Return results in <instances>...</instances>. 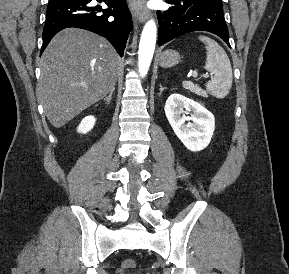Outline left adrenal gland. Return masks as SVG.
Returning <instances> with one entry per match:
<instances>
[{"instance_id":"left-adrenal-gland-1","label":"left adrenal gland","mask_w":289,"mask_h":274,"mask_svg":"<svg viewBox=\"0 0 289 274\" xmlns=\"http://www.w3.org/2000/svg\"><path fill=\"white\" fill-rule=\"evenodd\" d=\"M164 89L165 88H163L162 85H160V95H161V93L163 92Z\"/></svg>"}]
</instances>
